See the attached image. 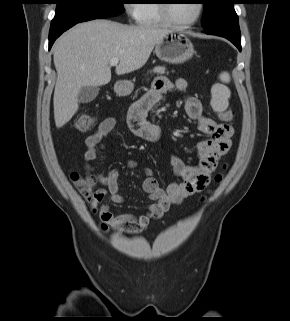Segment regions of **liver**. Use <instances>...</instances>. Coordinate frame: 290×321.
<instances>
[{"mask_svg": "<svg viewBox=\"0 0 290 321\" xmlns=\"http://www.w3.org/2000/svg\"><path fill=\"white\" fill-rule=\"evenodd\" d=\"M169 32L149 25L127 26L97 19L79 23L59 37L53 49L57 71L53 97L56 127L64 126L78 111L82 87L110 82L111 59H119L117 75L140 69Z\"/></svg>", "mask_w": 290, "mask_h": 321, "instance_id": "6515ba94", "label": "liver"}]
</instances>
